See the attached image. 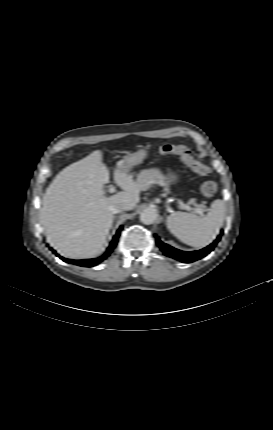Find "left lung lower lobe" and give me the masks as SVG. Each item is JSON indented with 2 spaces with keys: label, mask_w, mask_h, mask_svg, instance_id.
<instances>
[{
  "label": "left lung lower lobe",
  "mask_w": 273,
  "mask_h": 430,
  "mask_svg": "<svg viewBox=\"0 0 273 430\" xmlns=\"http://www.w3.org/2000/svg\"><path fill=\"white\" fill-rule=\"evenodd\" d=\"M221 233L223 232L221 231ZM219 240H220V236H218L217 239L206 248H203L198 251H191V252H185V251L175 249L170 245L163 243L159 238H156V243L166 256L174 258L184 263H191L203 258L208 253H210L215 248Z\"/></svg>",
  "instance_id": "obj_1"
}]
</instances>
